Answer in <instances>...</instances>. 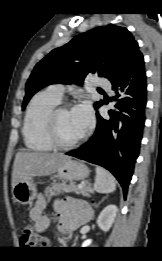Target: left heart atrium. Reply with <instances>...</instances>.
Returning <instances> with one entry per match:
<instances>
[{"label":"left heart atrium","instance_id":"39dd6f15","mask_svg":"<svg viewBox=\"0 0 162 261\" xmlns=\"http://www.w3.org/2000/svg\"><path fill=\"white\" fill-rule=\"evenodd\" d=\"M72 114L85 132L93 121L92 110L87 102H83L72 109Z\"/></svg>","mask_w":162,"mask_h":261}]
</instances>
